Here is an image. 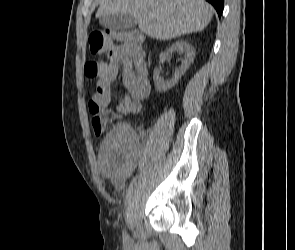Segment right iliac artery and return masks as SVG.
Returning <instances> with one entry per match:
<instances>
[{
    "label": "right iliac artery",
    "instance_id": "1",
    "mask_svg": "<svg viewBox=\"0 0 295 250\" xmlns=\"http://www.w3.org/2000/svg\"><path fill=\"white\" fill-rule=\"evenodd\" d=\"M123 239L125 242H127L129 240V236L127 235V233H123Z\"/></svg>",
    "mask_w": 295,
    "mask_h": 250
}]
</instances>
